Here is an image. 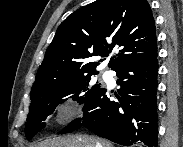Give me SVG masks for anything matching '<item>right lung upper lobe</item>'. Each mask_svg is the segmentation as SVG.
<instances>
[{"instance_id":"obj_1","label":"right lung upper lobe","mask_w":183,"mask_h":147,"mask_svg":"<svg viewBox=\"0 0 183 147\" xmlns=\"http://www.w3.org/2000/svg\"><path fill=\"white\" fill-rule=\"evenodd\" d=\"M113 48L119 49L109 62L114 71L157 54L155 22L146 0H97L73 12L58 27L32 90L97 74L99 62L93 57H106Z\"/></svg>"}]
</instances>
